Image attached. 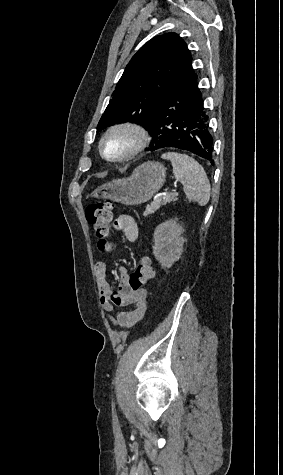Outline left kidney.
Returning a JSON list of instances; mask_svg holds the SVG:
<instances>
[{
    "label": "left kidney",
    "instance_id": "obj_1",
    "mask_svg": "<svg viewBox=\"0 0 283 475\" xmlns=\"http://www.w3.org/2000/svg\"><path fill=\"white\" fill-rule=\"evenodd\" d=\"M177 222L178 218L167 220L159 224L153 234V253L162 267H171L172 263L181 257L185 241L181 234L185 230Z\"/></svg>",
    "mask_w": 283,
    "mask_h": 475
}]
</instances>
